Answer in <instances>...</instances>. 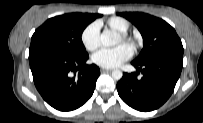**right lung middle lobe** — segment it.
Listing matches in <instances>:
<instances>
[{"label":"right lung middle lobe","instance_id":"obj_1","mask_svg":"<svg viewBox=\"0 0 203 123\" xmlns=\"http://www.w3.org/2000/svg\"><path fill=\"white\" fill-rule=\"evenodd\" d=\"M93 20L87 13H69L48 19L33 34L30 50L41 49L71 57L84 56L87 52L81 35Z\"/></svg>","mask_w":203,"mask_h":123}]
</instances>
